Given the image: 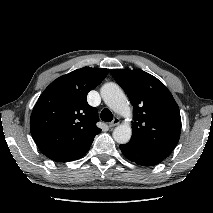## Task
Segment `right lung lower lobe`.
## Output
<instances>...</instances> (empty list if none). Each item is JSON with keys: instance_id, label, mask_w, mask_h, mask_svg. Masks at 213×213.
Here are the masks:
<instances>
[{"instance_id": "1", "label": "right lung lower lobe", "mask_w": 213, "mask_h": 213, "mask_svg": "<svg viewBox=\"0 0 213 213\" xmlns=\"http://www.w3.org/2000/svg\"><path fill=\"white\" fill-rule=\"evenodd\" d=\"M90 146H88L87 148H85L84 150H82L78 153L71 154V155L55 156L51 159L54 160V161H57V162L72 161V160L78 159V158L82 157L83 155H85V153L89 150Z\"/></svg>"}]
</instances>
